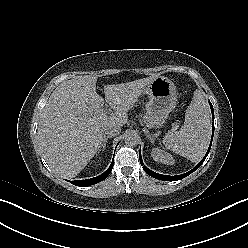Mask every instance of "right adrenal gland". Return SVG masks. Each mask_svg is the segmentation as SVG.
<instances>
[{
	"label": "right adrenal gland",
	"instance_id": "2a0ac1e0",
	"mask_svg": "<svg viewBox=\"0 0 248 248\" xmlns=\"http://www.w3.org/2000/svg\"><path fill=\"white\" fill-rule=\"evenodd\" d=\"M109 138H111V136H107V137L104 139L103 143L101 144L102 150H105L106 144L108 143V139H109Z\"/></svg>",
	"mask_w": 248,
	"mask_h": 248
}]
</instances>
